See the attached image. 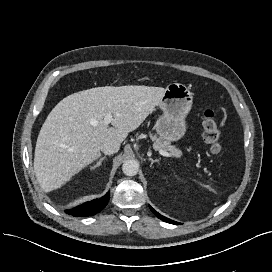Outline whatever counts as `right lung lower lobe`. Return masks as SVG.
Returning <instances> with one entry per match:
<instances>
[{"mask_svg":"<svg viewBox=\"0 0 272 272\" xmlns=\"http://www.w3.org/2000/svg\"><path fill=\"white\" fill-rule=\"evenodd\" d=\"M109 199H110V192H107L106 195H104L100 199H95V200L86 202L73 209L66 210L65 212L75 217L91 216L100 212L107 205Z\"/></svg>","mask_w":272,"mask_h":272,"instance_id":"1","label":"right lung lower lobe"}]
</instances>
